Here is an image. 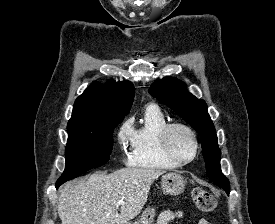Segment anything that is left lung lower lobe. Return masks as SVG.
<instances>
[{"label":"left lung lower lobe","instance_id":"left-lung-lower-lobe-1","mask_svg":"<svg viewBox=\"0 0 275 224\" xmlns=\"http://www.w3.org/2000/svg\"><path fill=\"white\" fill-rule=\"evenodd\" d=\"M226 193L229 195L230 193V188L229 189H225Z\"/></svg>","mask_w":275,"mask_h":224}]
</instances>
